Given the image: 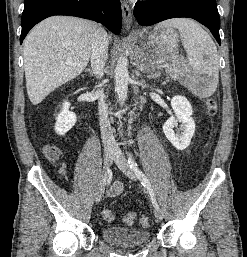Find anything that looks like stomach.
Returning a JSON list of instances; mask_svg holds the SVG:
<instances>
[{"label":"stomach","instance_id":"obj_1","mask_svg":"<svg viewBox=\"0 0 247 257\" xmlns=\"http://www.w3.org/2000/svg\"><path fill=\"white\" fill-rule=\"evenodd\" d=\"M139 46L135 49V61L143 71H150L156 64L169 68L173 78L180 79L190 89L199 81H193L191 68L176 55L178 35L173 28L165 27L138 36Z\"/></svg>","mask_w":247,"mask_h":257}]
</instances>
